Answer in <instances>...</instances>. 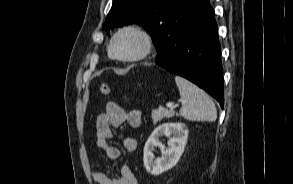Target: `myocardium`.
<instances>
[{
	"label": "myocardium",
	"mask_w": 293,
	"mask_h": 184,
	"mask_svg": "<svg viewBox=\"0 0 293 184\" xmlns=\"http://www.w3.org/2000/svg\"><path fill=\"white\" fill-rule=\"evenodd\" d=\"M125 32L136 33L142 40L141 50L135 55L124 57V56L117 55L114 51L115 40L117 39V37L119 35H121L122 33H125ZM153 46H154L153 38H152L151 34L144 27H142L138 24H128V25L121 27L120 29H118L114 33V35L110 39L108 50H109L110 55L118 61L136 62V61H140V60L146 58L148 55H150V53L153 50Z\"/></svg>",
	"instance_id": "1"
}]
</instances>
